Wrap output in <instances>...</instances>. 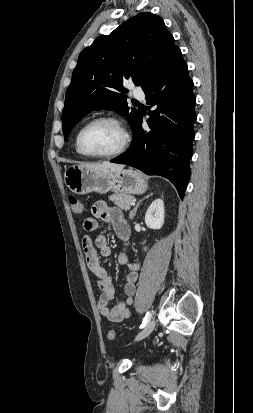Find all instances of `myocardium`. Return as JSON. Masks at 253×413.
<instances>
[{"mask_svg":"<svg viewBox=\"0 0 253 413\" xmlns=\"http://www.w3.org/2000/svg\"><path fill=\"white\" fill-rule=\"evenodd\" d=\"M101 122L111 123L115 125L121 131L123 135L122 143L118 149H116L115 151L109 152V153H103V154L90 153L86 151L83 147L82 136L87 128H89L90 126L96 123H101ZM130 142H131V136L126 126L118 118L113 117V116H99V117H96L88 121L80 128L76 136V147L79 153L83 156L91 157V158H111V157L119 156L128 149Z\"/></svg>","mask_w":253,"mask_h":413,"instance_id":"f54148a6","label":"myocardium"}]
</instances>
